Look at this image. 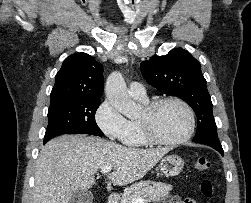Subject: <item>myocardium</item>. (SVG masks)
I'll list each match as a JSON object with an SVG mask.
<instances>
[{
  "instance_id": "1",
  "label": "myocardium",
  "mask_w": 251,
  "mask_h": 203,
  "mask_svg": "<svg viewBox=\"0 0 251 203\" xmlns=\"http://www.w3.org/2000/svg\"><path fill=\"white\" fill-rule=\"evenodd\" d=\"M174 102L181 105L188 114L189 117V127L187 132L180 138L175 140H166L160 138L153 129V116L156 111L164 104ZM143 117L138 120L142 134L146 141L150 144L160 145V146H178L187 142L194 134L196 128V116L192 107L182 98L170 96L159 98L148 103L143 111Z\"/></svg>"
}]
</instances>
